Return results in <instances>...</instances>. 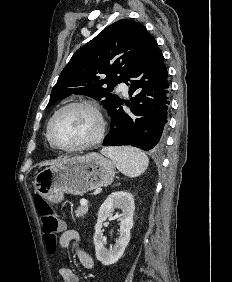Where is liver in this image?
<instances>
[{
  "mask_svg": "<svg viewBox=\"0 0 232 282\" xmlns=\"http://www.w3.org/2000/svg\"><path fill=\"white\" fill-rule=\"evenodd\" d=\"M57 162H45V163H43V165H54V164H56Z\"/></svg>",
  "mask_w": 232,
  "mask_h": 282,
  "instance_id": "liver-1",
  "label": "liver"
}]
</instances>
